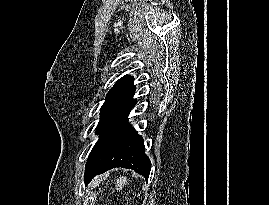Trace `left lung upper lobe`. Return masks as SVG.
I'll return each mask as SVG.
<instances>
[{
  "mask_svg": "<svg viewBox=\"0 0 269 205\" xmlns=\"http://www.w3.org/2000/svg\"><path fill=\"white\" fill-rule=\"evenodd\" d=\"M134 92L135 86L132 76H124L115 83L106 95V100L101 107L100 121L97 125V130L134 102Z\"/></svg>",
  "mask_w": 269,
  "mask_h": 205,
  "instance_id": "5c2ea615",
  "label": "left lung upper lobe"
}]
</instances>
